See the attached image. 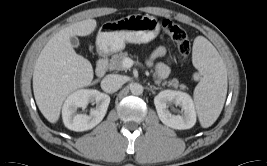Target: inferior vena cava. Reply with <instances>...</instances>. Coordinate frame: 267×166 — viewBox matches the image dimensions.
Masks as SVG:
<instances>
[{"mask_svg":"<svg viewBox=\"0 0 267 166\" xmlns=\"http://www.w3.org/2000/svg\"><path fill=\"white\" fill-rule=\"evenodd\" d=\"M124 82L123 76L109 74L101 81V88L106 93H114L124 84Z\"/></svg>","mask_w":267,"mask_h":166,"instance_id":"1","label":"inferior vena cava"}]
</instances>
